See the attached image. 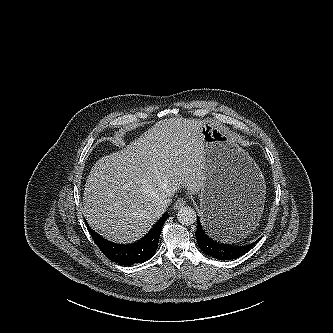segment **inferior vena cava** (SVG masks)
<instances>
[{
	"label": "inferior vena cava",
	"instance_id": "inferior-vena-cava-1",
	"mask_svg": "<svg viewBox=\"0 0 333 333\" xmlns=\"http://www.w3.org/2000/svg\"><path fill=\"white\" fill-rule=\"evenodd\" d=\"M170 203H171L170 197H165L159 201L158 207L164 211Z\"/></svg>",
	"mask_w": 333,
	"mask_h": 333
}]
</instances>
